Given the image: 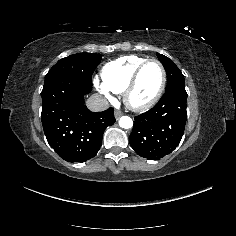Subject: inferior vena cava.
Here are the masks:
<instances>
[{"label": "inferior vena cava", "mask_w": 236, "mask_h": 236, "mask_svg": "<svg viewBox=\"0 0 236 236\" xmlns=\"http://www.w3.org/2000/svg\"><path fill=\"white\" fill-rule=\"evenodd\" d=\"M86 106L89 110L94 112L103 111L109 107V102L104 96L93 94L87 99Z\"/></svg>", "instance_id": "inferior-vena-cava-1"}]
</instances>
